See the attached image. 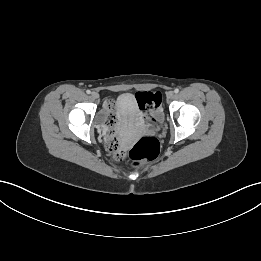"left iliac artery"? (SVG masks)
I'll return each instance as SVG.
<instances>
[{"label": "left iliac artery", "instance_id": "obj_1", "mask_svg": "<svg viewBox=\"0 0 261 261\" xmlns=\"http://www.w3.org/2000/svg\"><path fill=\"white\" fill-rule=\"evenodd\" d=\"M174 92L177 94V93L179 92V89L176 88V89L174 90Z\"/></svg>", "mask_w": 261, "mask_h": 261}]
</instances>
